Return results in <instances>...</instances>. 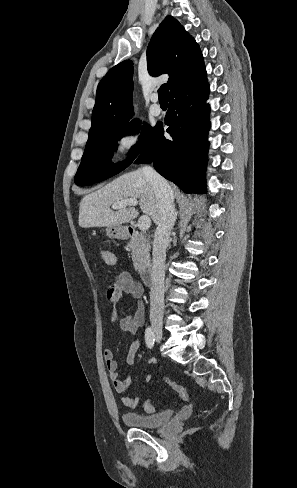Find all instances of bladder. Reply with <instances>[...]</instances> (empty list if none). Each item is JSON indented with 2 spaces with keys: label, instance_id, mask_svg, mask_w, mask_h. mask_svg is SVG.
I'll return each mask as SVG.
<instances>
[{
  "label": "bladder",
  "instance_id": "31cf9c89",
  "mask_svg": "<svg viewBox=\"0 0 297 488\" xmlns=\"http://www.w3.org/2000/svg\"><path fill=\"white\" fill-rule=\"evenodd\" d=\"M172 416V410H166L156 414L125 412L122 415V420L128 427L138 429H156L168 423Z\"/></svg>",
  "mask_w": 297,
  "mask_h": 488
}]
</instances>
